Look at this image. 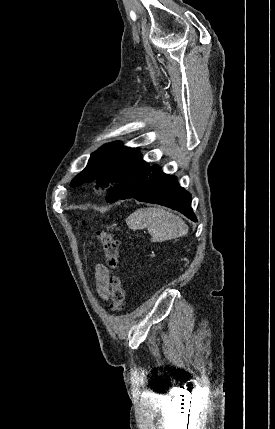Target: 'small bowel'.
<instances>
[{
	"label": "small bowel",
	"mask_w": 275,
	"mask_h": 429,
	"mask_svg": "<svg viewBox=\"0 0 275 429\" xmlns=\"http://www.w3.org/2000/svg\"><path fill=\"white\" fill-rule=\"evenodd\" d=\"M94 276L99 296L104 300H107L110 296L109 270L106 266L98 264L95 267Z\"/></svg>",
	"instance_id": "1"
}]
</instances>
